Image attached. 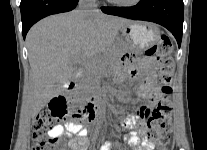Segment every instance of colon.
Here are the masks:
<instances>
[{
    "label": "colon",
    "mask_w": 207,
    "mask_h": 150,
    "mask_svg": "<svg viewBox=\"0 0 207 150\" xmlns=\"http://www.w3.org/2000/svg\"><path fill=\"white\" fill-rule=\"evenodd\" d=\"M172 50V44L168 36L160 37L156 45L147 51V55L157 60L156 72L161 85L162 98L147 117L148 131L146 133L147 145L166 146L169 143V135L172 130V75L174 64L167 58ZM67 100H50V107L42 109L33 119V146L31 150H66L59 142V138L51 137L49 131L55 128L59 122L69 117L80 118L75 112L67 111Z\"/></svg>",
    "instance_id": "1"
}]
</instances>
